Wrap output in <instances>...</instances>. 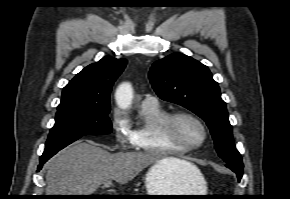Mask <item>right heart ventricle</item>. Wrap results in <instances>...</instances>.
I'll return each mask as SVG.
<instances>
[{
  "instance_id": "1",
  "label": "right heart ventricle",
  "mask_w": 290,
  "mask_h": 199,
  "mask_svg": "<svg viewBox=\"0 0 290 199\" xmlns=\"http://www.w3.org/2000/svg\"><path fill=\"white\" fill-rule=\"evenodd\" d=\"M169 112L159 104H141L136 122L130 126L132 146L136 151L158 156H180L185 152L173 148L162 138L160 126Z\"/></svg>"
}]
</instances>
